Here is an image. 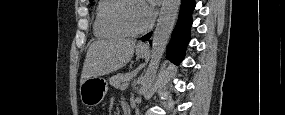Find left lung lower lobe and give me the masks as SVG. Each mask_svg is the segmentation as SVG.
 Segmentation results:
<instances>
[{
    "label": "left lung lower lobe",
    "instance_id": "obj_1",
    "mask_svg": "<svg viewBox=\"0 0 285 115\" xmlns=\"http://www.w3.org/2000/svg\"><path fill=\"white\" fill-rule=\"evenodd\" d=\"M195 8V0H182L179 18L175 29L172 33V38L168 46L167 57L175 64L183 60L185 56L186 46L190 41V28L192 26V11ZM152 32L141 38L143 41H148Z\"/></svg>",
    "mask_w": 285,
    "mask_h": 115
}]
</instances>
